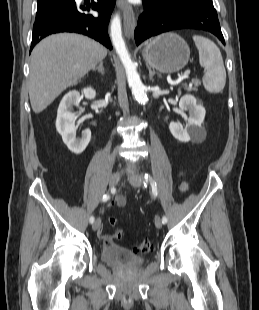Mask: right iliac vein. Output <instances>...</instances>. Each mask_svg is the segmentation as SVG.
<instances>
[{"label":"right iliac vein","mask_w":259,"mask_h":310,"mask_svg":"<svg viewBox=\"0 0 259 310\" xmlns=\"http://www.w3.org/2000/svg\"><path fill=\"white\" fill-rule=\"evenodd\" d=\"M119 180H120V174H119L118 172L113 173V174L110 176V179H109V186H110L111 188L115 187V186L118 184ZM100 223H101V221H100V219L98 218V219L93 223L92 229H93L94 231L98 230V228H99V226H100Z\"/></svg>","instance_id":"obj_1"}]
</instances>
